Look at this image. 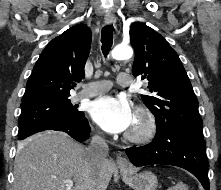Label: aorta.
I'll return each mask as SVG.
<instances>
[{
    "instance_id": "obj_1",
    "label": "aorta",
    "mask_w": 221,
    "mask_h": 190,
    "mask_svg": "<svg viewBox=\"0 0 221 190\" xmlns=\"http://www.w3.org/2000/svg\"><path fill=\"white\" fill-rule=\"evenodd\" d=\"M132 55H133V50L128 45H117L111 53V57L115 60L130 59Z\"/></svg>"
}]
</instances>
